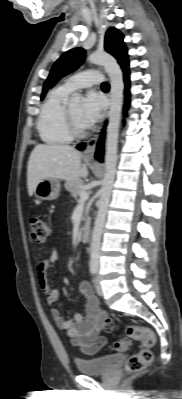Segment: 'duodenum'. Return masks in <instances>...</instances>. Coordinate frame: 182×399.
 Returning <instances> with one entry per match:
<instances>
[{
	"instance_id": "obj_1",
	"label": "duodenum",
	"mask_w": 182,
	"mask_h": 399,
	"mask_svg": "<svg viewBox=\"0 0 182 399\" xmlns=\"http://www.w3.org/2000/svg\"><path fill=\"white\" fill-rule=\"evenodd\" d=\"M89 236H90V227L88 225H85L81 230V239L83 241H88Z\"/></svg>"
}]
</instances>
